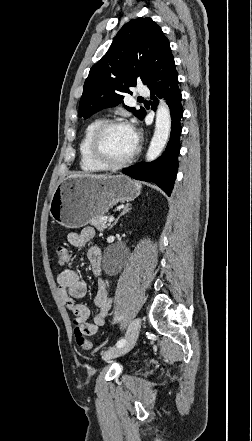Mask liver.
Returning a JSON list of instances; mask_svg holds the SVG:
<instances>
[{"instance_id":"liver-1","label":"liver","mask_w":252,"mask_h":441,"mask_svg":"<svg viewBox=\"0 0 252 441\" xmlns=\"http://www.w3.org/2000/svg\"><path fill=\"white\" fill-rule=\"evenodd\" d=\"M76 176H91V177H96V178H103V177H106L107 175L73 174V175H70L69 177H76Z\"/></svg>"}]
</instances>
